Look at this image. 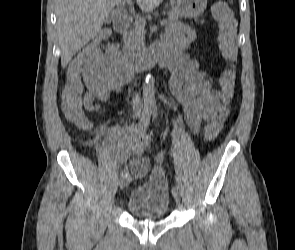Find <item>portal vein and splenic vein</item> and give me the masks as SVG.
<instances>
[{
  "label": "portal vein and splenic vein",
  "instance_id": "portal-vein-and-splenic-vein-1",
  "mask_svg": "<svg viewBox=\"0 0 295 250\" xmlns=\"http://www.w3.org/2000/svg\"><path fill=\"white\" fill-rule=\"evenodd\" d=\"M122 4H123V5H125V4H131V0H124ZM136 18H137V19H136L137 22H138L140 25L145 26V24H146V20H145L144 18L139 17V16H136ZM166 24H167V20L163 19V20L160 21V25H161V26H164V25H166Z\"/></svg>",
  "mask_w": 295,
  "mask_h": 250
}]
</instances>
